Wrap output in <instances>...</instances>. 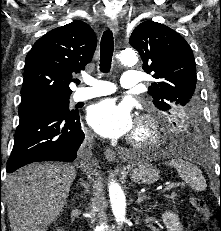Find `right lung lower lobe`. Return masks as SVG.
Listing matches in <instances>:
<instances>
[{
  "mask_svg": "<svg viewBox=\"0 0 221 231\" xmlns=\"http://www.w3.org/2000/svg\"><path fill=\"white\" fill-rule=\"evenodd\" d=\"M7 172L32 162H72L85 134L76 111L43 107L19 115Z\"/></svg>",
  "mask_w": 221,
  "mask_h": 231,
  "instance_id": "1",
  "label": "right lung lower lobe"
}]
</instances>
